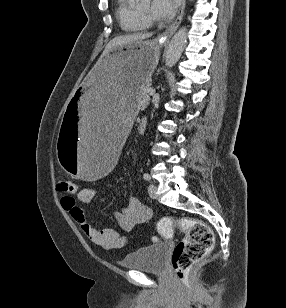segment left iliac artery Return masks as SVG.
<instances>
[{
    "mask_svg": "<svg viewBox=\"0 0 286 308\" xmlns=\"http://www.w3.org/2000/svg\"><path fill=\"white\" fill-rule=\"evenodd\" d=\"M143 178H144L146 181H150V180H151V176H150V174H148V173H145V174L143 175Z\"/></svg>",
    "mask_w": 286,
    "mask_h": 308,
    "instance_id": "obj_1",
    "label": "left iliac artery"
}]
</instances>
